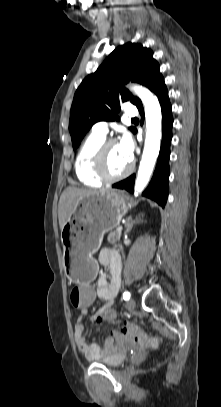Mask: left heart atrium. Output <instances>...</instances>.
Instances as JSON below:
<instances>
[{
	"instance_id": "left-heart-atrium-1",
	"label": "left heart atrium",
	"mask_w": 221,
	"mask_h": 407,
	"mask_svg": "<svg viewBox=\"0 0 221 407\" xmlns=\"http://www.w3.org/2000/svg\"><path fill=\"white\" fill-rule=\"evenodd\" d=\"M119 146L123 152V154L128 158L131 159L133 150H134V145L133 141L130 138V136L125 135L121 141L119 142Z\"/></svg>"
}]
</instances>
